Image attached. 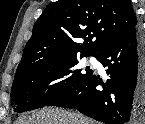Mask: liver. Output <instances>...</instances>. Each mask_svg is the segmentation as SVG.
Wrapping results in <instances>:
<instances>
[{"label":"liver","mask_w":145,"mask_h":124,"mask_svg":"<svg viewBox=\"0 0 145 124\" xmlns=\"http://www.w3.org/2000/svg\"><path fill=\"white\" fill-rule=\"evenodd\" d=\"M16 124H94L88 118L62 109H44L20 118Z\"/></svg>","instance_id":"6515ba94"}]
</instances>
